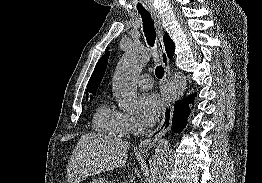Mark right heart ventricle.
Listing matches in <instances>:
<instances>
[{
	"label": "right heart ventricle",
	"mask_w": 262,
	"mask_h": 183,
	"mask_svg": "<svg viewBox=\"0 0 262 183\" xmlns=\"http://www.w3.org/2000/svg\"><path fill=\"white\" fill-rule=\"evenodd\" d=\"M124 115L110 104L102 103L94 112L93 128L95 131L110 137H123L127 133Z\"/></svg>",
	"instance_id": "1"
}]
</instances>
